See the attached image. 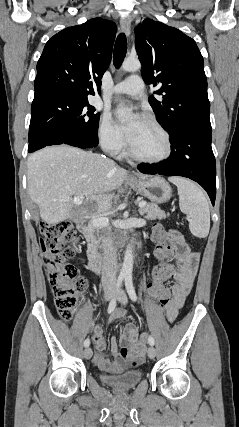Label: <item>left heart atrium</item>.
I'll use <instances>...</instances> for the list:
<instances>
[{"mask_svg":"<svg viewBox=\"0 0 239 427\" xmlns=\"http://www.w3.org/2000/svg\"><path fill=\"white\" fill-rule=\"evenodd\" d=\"M142 120V118L140 117H136L128 126L124 127V133L128 139V141H130V139L132 138L138 124L140 123V121Z\"/></svg>","mask_w":239,"mask_h":427,"instance_id":"obj_1","label":"left heart atrium"}]
</instances>
